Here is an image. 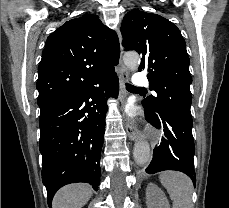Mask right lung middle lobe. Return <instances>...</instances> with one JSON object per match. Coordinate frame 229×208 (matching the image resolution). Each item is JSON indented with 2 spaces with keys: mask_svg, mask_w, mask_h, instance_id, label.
<instances>
[{
  "mask_svg": "<svg viewBox=\"0 0 229 208\" xmlns=\"http://www.w3.org/2000/svg\"><path fill=\"white\" fill-rule=\"evenodd\" d=\"M59 103H60V101L48 102V103H44V104H38L39 107H40V110H41L40 116H42V115L48 113L49 111H51Z\"/></svg>",
  "mask_w": 229,
  "mask_h": 208,
  "instance_id": "1",
  "label": "right lung middle lobe"
}]
</instances>
